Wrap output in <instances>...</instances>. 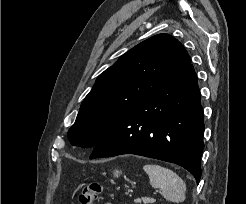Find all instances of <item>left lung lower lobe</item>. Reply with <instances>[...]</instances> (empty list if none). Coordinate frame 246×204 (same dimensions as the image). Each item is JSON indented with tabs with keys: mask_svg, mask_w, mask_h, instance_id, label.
<instances>
[{
	"mask_svg": "<svg viewBox=\"0 0 246 204\" xmlns=\"http://www.w3.org/2000/svg\"><path fill=\"white\" fill-rule=\"evenodd\" d=\"M191 63L138 104L95 145L90 159L135 154L178 164L199 183L203 109Z\"/></svg>",
	"mask_w": 246,
	"mask_h": 204,
	"instance_id": "obj_1",
	"label": "left lung lower lobe"
}]
</instances>
